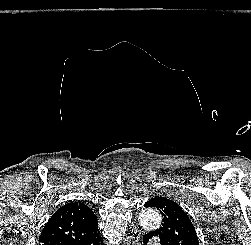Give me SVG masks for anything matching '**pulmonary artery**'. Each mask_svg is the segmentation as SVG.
Instances as JSON below:
<instances>
[{
  "mask_svg": "<svg viewBox=\"0 0 251 245\" xmlns=\"http://www.w3.org/2000/svg\"><path fill=\"white\" fill-rule=\"evenodd\" d=\"M151 245H159V242L157 240H154L151 242Z\"/></svg>",
  "mask_w": 251,
  "mask_h": 245,
  "instance_id": "pulmonary-artery-1",
  "label": "pulmonary artery"
}]
</instances>
